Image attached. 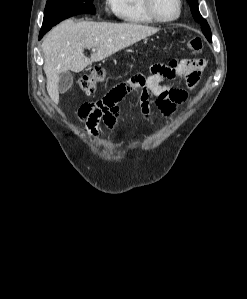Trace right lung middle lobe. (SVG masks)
Masks as SVG:
<instances>
[{
    "label": "right lung middle lobe",
    "mask_w": 247,
    "mask_h": 299,
    "mask_svg": "<svg viewBox=\"0 0 247 299\" xmlns=\"http://www.w3.org/2000/svg\"><path fill=\"white\" fill-rule=\"evenodd\" d=\"M92 2L93 0H48L39 38L66 18L77 14H94L95 7Z\"/></svg>",
    "instance_id": "obj_1"
}]
</instances>
